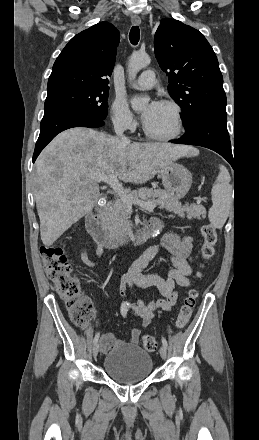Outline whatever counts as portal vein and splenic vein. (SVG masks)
I'll use <instances>...</instances> for the list:
<instances>
[{"label": "portal vein and splenic vein", "instance_id": "18ae733b", "mask_svg": "<svg viewBox=\"0 0 259 440\" xmlns=\"http://www.w3.org/2000/svg\"><path fill=\"white\" fill-rule=\"evenodd\" d=\"M92 178H94L97 181H104L108 183L111 188L117 193V195L120 197V199L127 203L129 206L132 204L138 205L143 209H146L148 211L153 210L156 207V204L154 202H145L141 201L139 199L133 198L127 191L124 190L122 184L117 179V176L114 174H96L93 175Z\"/></svg>", "mask_w": 259, "mask_h": 440}]
</instances>
